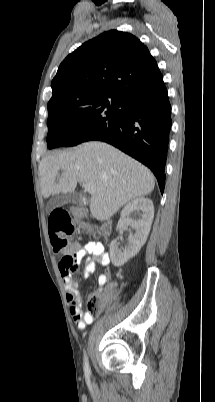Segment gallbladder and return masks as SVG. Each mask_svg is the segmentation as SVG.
Wrapping results in <instances>:
<instances>
[{
    "label": "gallbladder",
    "mask_w": 215,
    "mask_h": 402,
    "mask_svg": "<svg viewBox=\"0 0 215 402\" xmlns=\"http://www.w3.org/2000/svg\"><path fill=\"white\" fill-rule=\"evenodd\" d=\"M85 199L83 196L79 193H70V194H63V195H58L52 198L49 203L47 204L46 210L47 211H52L55 208L65 205V204H77L81 205L83 204Z\"/></svg>",
    "instance_id": "bac80fb5"
}]
</instances>
